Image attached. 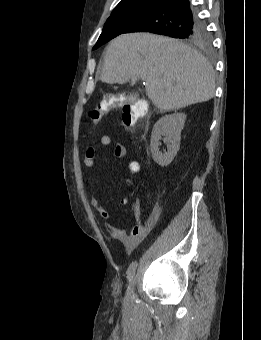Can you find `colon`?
Returning a JSON list of instances; mask_svg holds the SVG:
<instances>
[{"label": "colon", "instance_id": "obj_1", "mask_svg": "<svg viewBox=\"0 0 261 340\" xmlns=\"http://www.w3.org/2000/svg\"><path fill=\"white\" fill-rule=\"evenodd\" d=\"M113 107H115V100L105 99L100 101L89 110L88 118L93 125H96ZM146 113L147 104L144 101H131L123 106V123L126 127L132 128L145 117ZM131 167L134 172L139 170L137 163H133Z\"/></svg>", "mask_w": 261, "mask_h": 340}]
</instances>
